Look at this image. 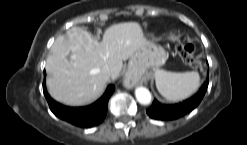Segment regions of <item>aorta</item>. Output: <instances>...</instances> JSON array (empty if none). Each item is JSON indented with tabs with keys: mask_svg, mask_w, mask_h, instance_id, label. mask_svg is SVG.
Returning <instances> with one entry per match:
<instances>
[{
	"mask_svg": "<svg viewBox=\"0 0 247 145\" xmlns=\"http://www.w3.org/2000/svg\"><path fill=\"white\" fill-rule=\"evenodd\" d=\"M135 96L137 101L142 105H148L151 103L152 100L151 93L145 87H137L135 89Z\"/></svg>",
	"mask_w": 247,
	"mask_h": 145,
	"instance_id": "obj_1",
	"label": "aorta"
}]
</instances>
